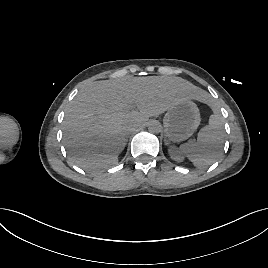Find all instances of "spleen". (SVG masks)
Returning a JSON list of instances; mask_svg holds the SVG:
<instances>
[{
	"instance_id": "spleen-1",
	"label": "spleen",
	"mask_w": 268,
	"mask_h": 268,
	"mask_svg": "<svg viewBox=\"0 0 268 268\" xmlns=\"http://www.w3.org/2000/svg\"><path fill=\"white\" fill-rule=\"evenodd\" d=\"M223 138V119L215 111L210 116L209 124L198 132L197 142L183 144L179 149L197 168H205L219 157Z\"/></svg>"
}]
</instances>
